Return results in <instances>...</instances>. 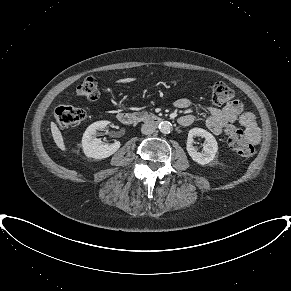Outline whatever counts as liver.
<instances>
[{
    "label": "liver",
    "mask_w": 291,
    "mask_h": 291,
    "mask_svg": "<svg viewBox=\"0 0 291 291\" xmlns=\"http://www.w3.org/2000/svg\"><path fill=\"white\" fill-rule=\"evenodd\" d=\"M136 78H124V79H120L117 80V83H129L132 81H135ZM51 133H52V137L54 139V142L56 143L57 147L62 150L65 151V144H64V140H63V136L60 132V130L58 129L57 125L54 122H51Z\"/></svg>",
    "instance_id": "6515ba94"
}]
</instances>
